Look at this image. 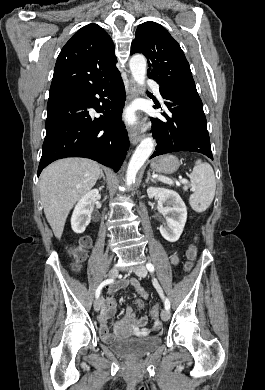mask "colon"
<instances>
[{
	"mask_svg": "<svg viewBox=\"0 0 265 390\" xmlns=\"http://www.w3.org/2000/svg\"><path fill=\"white\" fill-rule=\"evenodd\" d=\"M91 243V240L88 236L82 237L78 244L71 248L70 254L72 255L74 259V267L76 270L80 268V264L85 260L87 249L89 248ZM188 263H187V269H191L193 266V262L196 258L197 252L195 248H191L188 251ZM151 315L155 320V324L157 326L160 325L159 323V307L157 305H154L151 309Z\"/></svg>",
	"mask_w": 265,
	"mask_h": 390,
	"instance_id": "colon-1",
	"label": "colon"
}]
</instances>
